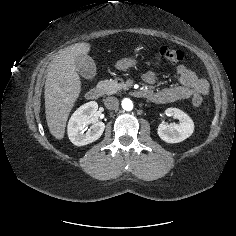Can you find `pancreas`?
Returning <instances> with one entry per match:
<instances>
[{
  "instance_id": "1",
  "label": "pancreas",
  "mask_w": 236,
  "mask_h": 236,
  "mask_svg": "<svg viewBox=\"0 0 236 236\" xmlns=\"http://www.w3.org/2000/svg\"><path fill=\"white\" fill-rule=\"evenodd\" d=\"M103 84L105 86L104 88V93L107 95H111V94H115L117 91L119 90H126L127 89V85L124 83H119L116 80H104Z\"/></svg>"
}]
</instances>
